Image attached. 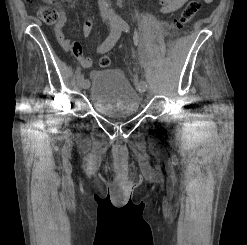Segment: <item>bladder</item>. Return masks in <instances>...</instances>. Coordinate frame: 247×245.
<instances>
[{"mask_svg": "<svg viewBox=\"0 0 247 245\" xmlns=\"http://www.w3.org/2000/svg\"><path fill=\"white\" fill-rule=\"evenodd\" d=\"M89 98L94 109L107 117L133 115L140 109L139 93L119 69L94 70Z\"/></svg>", "mask_w": 247, "mask_h": 245, "instance_id": "31cf9c89", "label": "bladder"}]
</instances>
